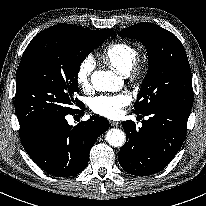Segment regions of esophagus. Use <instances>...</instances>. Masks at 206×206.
Masks as SVG:
<instances>
[{"instance_id":"obj_1","label":"esophagus","mask_w":206,"mask_h":206,"mask_svg":"<svg viewBox=\"0 0 206 206\" xmlns=\"http://www.w3.org/2000/svg\"><path fill=\"white\" fill-rule=\"evenodd\" d=\"M111 126H118L120 123L117 121H110Z\"/></svg>"}]
</instances>
